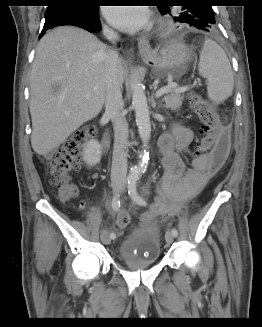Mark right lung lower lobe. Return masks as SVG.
I'll return each mask as SVG.
<instances>
[{
    "label": "right lung lower lobe",
    "mask_w": 262,
    "mask_h": 327,
    "mask_svg": "<svg viewBox=\"0 0 262 327\" xmlns=\"http://www.w3.org/2000/svg\"><path fill=\"white\" fill-rule=\"evenodd\" d=\"M55 3L45 12V24L40 38L47 30L64 25L77 26L91 33L101 30L99 6H82L73 0H59Z\"/></svg>",
    "instance_id": "1"
}]
</instances>
